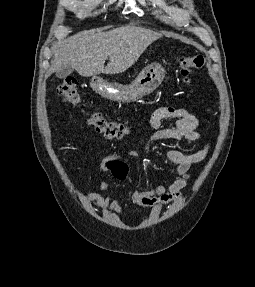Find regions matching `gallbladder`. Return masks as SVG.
<instances>
[{"mask_svg":"<svg viewBox=\"0 0 255 287\" xmlns=\"http://www.w3.org/2000/svg\"><path fill=\"white\" fill-rule=\"evenodd\" d=\"M72 72H74V68H72V66H61V68H58V70H56L55 74L57 78H60V80H62V78H67V76H70Z\"/></svg>","mask_w":255,"mask_h":287,"instance_id":"bac80fb5","label":"gallbladder"}]
</instances>
